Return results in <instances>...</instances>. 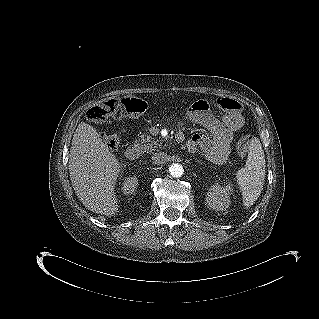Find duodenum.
I'll use <instances>...</instances> for the list:
<instances>
[{"label": "duodenum", "instance_id": "obj_1", "mask_svg": "<svg viewBox=\"0 0 319 319\" xmlns=\"http://www.w3.org/2000/svg\"><path fill=\"white\" fill-rule=\"evenodd\" d=\"M183 138H184V136L182 133L177 134V140L179 142L182 141ZM140 154H141L140 147L137 144L130 145L128 147V149L126 150V156H127V158H129L131 160L138 159L140 157Z\"/></svg>", "mask_w": 319, "mask_h": 319}]
</instances>
